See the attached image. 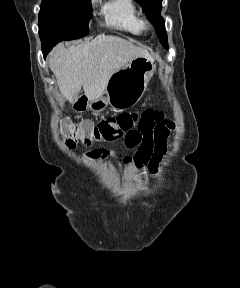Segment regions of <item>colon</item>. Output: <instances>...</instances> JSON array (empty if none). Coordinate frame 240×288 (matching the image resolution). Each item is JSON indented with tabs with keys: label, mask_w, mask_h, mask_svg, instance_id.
Wrapping results in <instances>:
<instances>
[{
	"label": "colon",
	"mask_w": 240,
	"mask_h": 288,
	"mask_svg": "<svg viewBox=\"0 0 240 288\" xmlns=\"http://www.w3.org/2000/svg\"><path fill=\"white\" fill-rule=\"evenodd\" d=\"M139 122V114L125 112L98 122L87 120L74 123L70 120H63L59 125V130L66 146L71 149L75 148L78 143L91 144L95 141H115L135 130Z\"/></svg>",
	"instance_id": "colon-1"
}]
</instances>
